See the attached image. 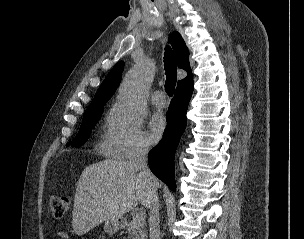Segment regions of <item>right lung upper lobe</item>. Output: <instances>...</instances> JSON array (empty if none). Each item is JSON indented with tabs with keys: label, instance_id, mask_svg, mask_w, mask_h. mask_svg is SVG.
Returning a JSON list of instances; mask_svg holds the SVG:
<instances>
[{
	"label": "right lung upper lobe",
	"instance_id": "right-lung-upper-lobe-1",
	"mask_svg": "<svg viewBox=\"0 0 304 239\" xmlns=\"http://www.w3.org/2000/svg\"><path fill=\"white\" fill-rule=\"evenodd\" d=\"M169 42L173 47L178 67L188 72V75L185 79L178 81V84H180L192 77L189 64V51L185 45L184 40L178 32H173L170 35ZM123 67L124 62L120 61L112 68V70L109 72L97 90L96 95L88 109L104 106V104L113 96L116 88L121 81Z\"/></svg>",
	"mask_w": 304,
	"mask_h": 239
}]
</instances>
